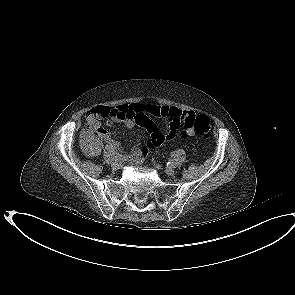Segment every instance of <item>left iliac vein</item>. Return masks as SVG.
<instances>
[{
    "label": "left iliac vein",
    "instance_id": "obj_1",
    "mask_svg": "<svg viewBox=\"0 0 295 295\" xmlns=\"http://www.w3.org/2000/svg\"><path fill=\"white\" fill-rule=\"evenodd\" d=\"M165 172H166V174H168L169 176H172V175H174V173H175V171H174V169H173L172 167H167V168L165 169Z\"/></svg>",
    "mask_w": 295,
    "mask_h": 295
}]
</instances>
